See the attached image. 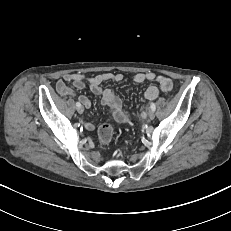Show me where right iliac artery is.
<instances>
[{
    "label": "right iliac artery",
    "mask_w": 231,
    "mask_h": 231,
    "mask_svg": "<svg viewBox=\"0 0 231 231\" xmlns=\"http://www.w3.org/2000/svg\"><path fill=\"white\" fill-rule=\"evenodd\" d=\"M76 106H77V107H80L81 104H80L79 102H76Z\"/></svg>",
    "instance_id": "1"
}]
</instances>
